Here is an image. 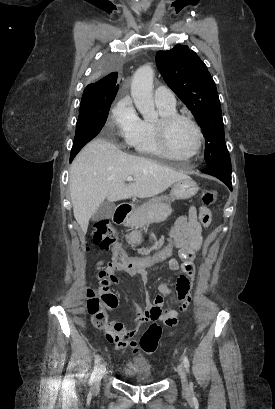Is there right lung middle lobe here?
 <instances>
[{
    "mask_svg": "<svg viewBox=\"0 0 275 409\" xmlns=\"http://www.w3.org/2000/svg\"><path fill=\"white\" fill-rule=\"evenodd\" d=\"M96 73H121L120 57H99ZM113 100H83L80 104L76 133L70 154V162L77 153L103 128Z\"/></svg>",
    "mask_w": 275,
    "mask_h": 409,
    "instance_id": "right-lung-middle-lobe-1",
    "label": "right lung middle lobe"
}]
</instances>
